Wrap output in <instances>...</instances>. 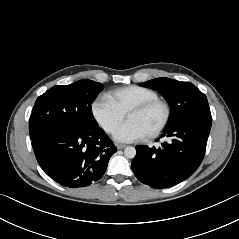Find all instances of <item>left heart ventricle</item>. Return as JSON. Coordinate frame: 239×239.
Returning a JSON list of instances; mask_svg holds the SVG:
<instances>
[{
    "label": "left heart ventricle",
    "mask_w": 239,
    "mask_h": 239,
    "mask_svg": "<svg viewBox=\"0 0 239 239\" xmlns=\"http://www.w3.org/2000/svg\"><path fill=\"white\" fill-rule=\"evenodd\" d=\"M163 110L161 107H154L146 112L130 114L127 121L138 125L145 135L151 133L161 122Z\"/></svg>",
    "instance_id": "1"
}]
</instances>
